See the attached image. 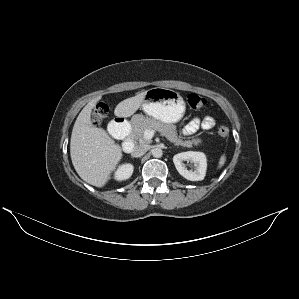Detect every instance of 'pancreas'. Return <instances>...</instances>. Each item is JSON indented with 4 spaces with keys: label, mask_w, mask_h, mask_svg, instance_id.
<instances>
[{
    "label": "pancreas",
    "mask_w": 299,
    "mask_h": 299,
    "mask_svg": "<svg viewBox=\"0 0 299 299\" xmlns=\"http://www.w3.org/2000/svg\"><path fill=\"white\" fill-rule=\"evenodd\" d=\"M133 131L131 137L135 140H138L141 144L149 143L150 140L144 139L145 130H156L164 135L168 141L174 143L175 145H180L183 147L191 148L193 145L198 146L201 143L199 138H192L188 140H183L184 138L178 136L176 127L170 124H164L160 121H157L153 118L138 116L134 118L133 122Z\"/></svg>",
    "instance_id": "pancreas-1"
}]
</instances>
